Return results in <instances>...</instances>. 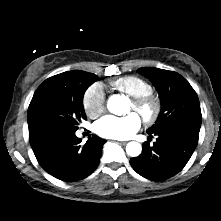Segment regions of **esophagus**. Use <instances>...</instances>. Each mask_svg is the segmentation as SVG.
<instances>
[{
	"instance_id": "esophagus-1",
	"label": "esophagus",
	"mask_w": 221,
	"mask_h": 221,
	"mask_svg": "<svg viewBox=\"0 0 221 221\" xmlns=\"http://www.w3.org/2000/svg\"><path fill=\"white\" fill-rule=\"evenodd\" d=\"M126 143L127 142H125V141H120V144H122V145H126Z\"/></svg>"
}]
</instances>
